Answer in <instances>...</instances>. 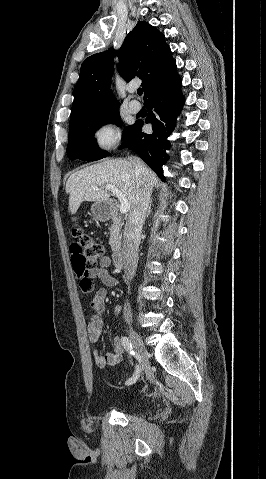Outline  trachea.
I'll return each instance as SVG.
<instances>
[{"label": "trachea", "mask_w": 266, "mask_h": 479, "mask_svg": "<svg viewBox=\"0 0 266 479\" xmlns=\"http://www.w3.org/2000/svg\"><path fill=\"white\" fill-rule=\"evenodd\" d=\"M137 93H138V95L141 96V95L143 94V89H142V88H139V89L137 90Z\"/></svg>", "instance_id": "1"}]
</instances>
